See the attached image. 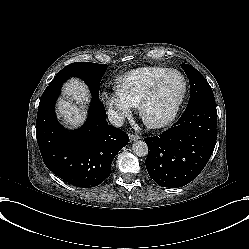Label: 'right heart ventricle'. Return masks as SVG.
I'll return each instance as SVG.
<instances>
[{"instance_id": "e07e8e85", "label": "right heart ventricle", "mask_w": 249, "mask_h": 249, "mask_svg": "<svg viewBox=\"0 0 249 249\" xmlns=\"http://www.w3.org/2000/svg\"><path fill=\"white\" fill-rule=\"evenodd\" d=\"M166 73L167 69L159 66L135 69L124 76L116 91L130 106L137 107Z\"/></svg>"}]
</instances>
